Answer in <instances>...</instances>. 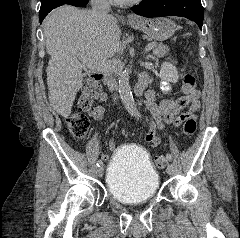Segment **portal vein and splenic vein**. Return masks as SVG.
Masks as SVG:
<instances>
[{
    "instance_id": "1",
    "label": "portal vein and splenic vein",
    "mask_w": 240,
    "mask_h": 238,
    "mask_svg": "<svg viewBox=\"0 0 240 238\" xmlns=\"http://www.w3.org/2000/svg\"><path fill=\"white\" fill-rule=\"evenodd\" d=\"M154 43H149L145 47V51L148 52L151 49H153ZM80 61L83 65L92 68V69H105L109 70L115 67V65L118 63L117 61H94V60H87L83 58L82 56L79 57Z\"/></svg>"
}]
</instances>
